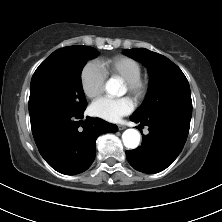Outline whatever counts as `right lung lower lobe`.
<instances>
[{
    "label": "right lung lower lobe",
    "instance_id": "1",
    "mask_svg": "<svg viewBox=\"0 0 222 222\" xmlns=\"http://www.w3.org/2000/svg\"><path fill=\"white\" fill-rule=\"evenodd\" d=\"M84 112V111H83ZM83 112H50L30 119L35 143L45 161L56 171L74 175L88 169L96 156V139L118 127Z\"/></svg>",
    "mask_w": 222,
    "mask_h": 222
}]
</instances>
